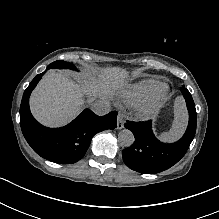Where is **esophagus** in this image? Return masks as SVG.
I'll return each mask as SVG.
<instances>
[{"label":"esophagus","mask_w":219,"mask_h":219,"mask_svg":"<svg viewBox=\"0 0 219 219\" xmlns=\"http://www.w3.org/2000/svg\"><path fill=\"white\" fill-rule=\"evenodd\" d=\"M124 127V118L122 114H118L117 116V129L120 130Z\"/></svg>","instance_id":"obj_1"}]
</instances>
